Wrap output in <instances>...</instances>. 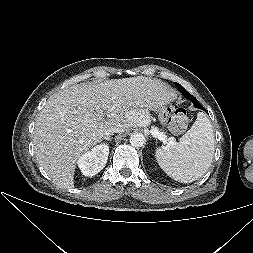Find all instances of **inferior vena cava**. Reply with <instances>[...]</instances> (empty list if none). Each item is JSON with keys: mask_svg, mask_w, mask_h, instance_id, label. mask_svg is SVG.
I'll return each mask as SVG.
<instances>
[{"mask_svg": "<svg viewBox=\"0 0 253 253\" xmlns=\"http://www.w3.org/2000/svg\"><path fill=\"white\" fill-rule=\"evenodd\" d=\"M121 132L120 129H112V130H107L104 134V137H108L110 135H113L114 133H118Z\"/></svg>", "mask_w": 253, "mask_h": 253, "instance_id": "inferior-vena-cava-1", "label": "inferior vena cava"}]
</instances>
